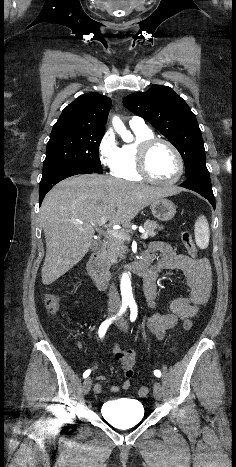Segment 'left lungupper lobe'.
<instances>
[{
    "instance_id": "5c2ea615",
    "label": "left lung upper lobe",
    "mask_w": 236,
    "mask_h": 467,
    "mask_svg": "<svg viewBox=\"0 0 236 467\" xmlns=\"http://www.w3.org/2000/svg\"><path fill=\"white\" fill-rule=\"evenodd\" d=\"M123 104L151 123L177 148L185 163L186 178L208 172L196 117L170 87L158 85L147 92L128 95Z\"/></svg>"
}]
</instances>
